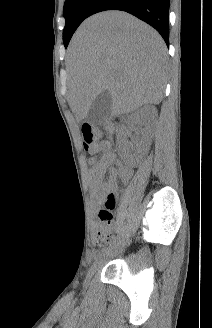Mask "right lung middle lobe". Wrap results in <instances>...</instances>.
<instances>
[{
    "label": "right lung middle lobe",
    "instance_id": "right-lung-middle-lobe-1",
    "mask_svg": "<svg viewBox=\"0 0 212 328\" xmlns=\"http://www.w3.org/2000/svg\"><path fill=\"white\" fill-rule=\"evenodd\" d=\"M96 0H66L63 8V15L66 20L63 30V42L67 47L73 33L88 17L89 10Z\"/></svg>",
    "mask_w": 212,
    "mask_h": 328
}]
</instances>
